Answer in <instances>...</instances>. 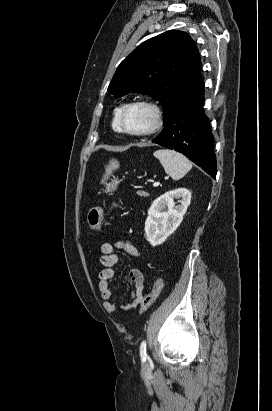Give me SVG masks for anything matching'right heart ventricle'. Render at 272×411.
Masks as SVG:
<instances>
[{"instance_id":"obj_1","label":"right heart ventricle","mask_w":272,"mask_h":411,"mask_svg":"<svg viewBox=\"0 0 272 411\" xmlns=\"http://www.w3.org/2000/svg\"><path fill=\"white\" fill-rule=\"evenodd\" d=\"M122 107L123 106H119L118 108L114 110V113H113L112 128L117 132H120L119 125H118V116H119V112Z\"/></svg>"}]
</instances>
